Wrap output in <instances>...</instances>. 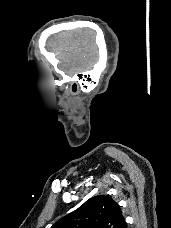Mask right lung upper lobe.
Listing matches in <instances>:
<instances>
[{
	"label": "right lung upper lobe",
	"mask_w": 171,
	"mask_h": 228,
	"mask_svg": "<svg viewBox=\"0 0 171 228\" xmlns=\"http://www.w3.org/2000/svg\"><path fill=\"white\" fill-rule=\"evenodd\" d=\"M51 228H127L119 205L98 195L57 221Z\"/></svg>",
	"instance_id": "obj_1"
}]
</instances>
